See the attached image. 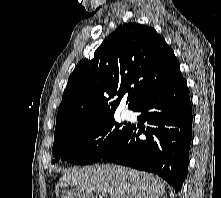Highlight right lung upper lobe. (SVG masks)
<instances>
[{
    "instance_id": "obj_1",
    "label": "right lung upper lobe",
    "mask_w": 221,
    "mask_h": 198,
    "mask_svg": "<svg viewBox=\"0 0 221 198\" xmlns=\"http://www.w3.org/2000/svg\"><path fill=\"white\" fill-rule=\"evenodd\" d=\"M179 72L173 50L152 27L138 23L118 27L94 58L80 61L70 75L54 138L113 115L125 93L128 108L137 109Z\"/></svg>"
}]
</instances>
